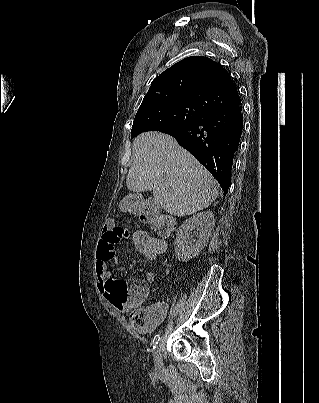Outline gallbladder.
Masks as SVG:
<instances>
[{"instance_id":"obj_1","label":"gallbladder","mask_w":319,"mask_h":403,"mask_svg":"<svg viewBox=\"0 0 319 403\" xmlns=\"http://www.w3.org/2000/svg\"><path fill=\"white\" fill-rule=\"evenodd\" d=\"M154 206V211L155 212H157V213H159L160 212V207H159V205L158 204H156V202L154 201V199H149V200H147L146 202H145V204H144V206H143V209L145 210V211H149L151 208V206Z\"/></svg>"}]
</instances>
